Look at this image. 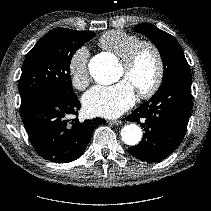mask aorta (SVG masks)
Masks as SVG:
<instances>
[{
	"label": "aorta",
	"mask_w": 211,
	"mask_h": 211,
	"mask_svg": "<svg viewBox=\"0 0 211 211\" xmlns=\"http://www.w3.org/2000/svg\"><path fill=\"white\" fill-rule=\"evenodd\" d=\"M89 70L94 80L100 84L108 85L116 81L111 64L100 61L98 58L92 59ZM122 140L127 144L134 146L138 144L142 138V131L136 124H129L121 130Z\"/></svg>",
	"instance_id": "obj_1"
}]
</instances>
